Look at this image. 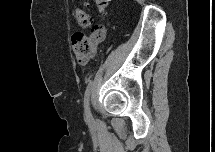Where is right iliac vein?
Masks as SVG:
<instances>
[{
	"label": "right iliac vein",
	"instance_id": "right-iliac-vein-1",
	"mask_svg": "<svg viewBox=\"0 0 215 152\" xmlns=\"http://www.w3.org/2000/svg\"><path fill=\"white\" fill-rule=\"evenodd\" d=\"M90 116H91V112H90V106H89V102H88V106H87V109H86V117L90 118Z\"/></svg>",
	"mask_w": 215,
	"mask_h": 152
}]
</instances>
